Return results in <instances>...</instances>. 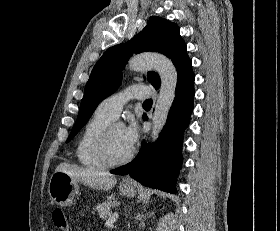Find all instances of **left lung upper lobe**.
Returning <instances> with one entry per match:
<instances>
[{
  "label": "left lung upper lobe",
  "instance_id": "obj_1",
  "mask_svg": "<svg viewBox=\"0 0 280 231\" xmlns=\"http://www.w3.org/2000/svg\"><path fill=\"white\" fill-rule=\"evenodd\" d=\"M158 52L171 59L178 77L191 64L186 54V44L180 36L179 27L157 16L149 18L145 28L125 44L108 48L94 66L85 86L76 123L67 139L69 142L87 123L96 107L107 96L114 93L122 81V69L130 56L141 52ZM148 81L158 89L159 75L148 72Z\"/></svg>",
  "mask_w": 280,
  "mask_h": 231
}]
</instances>
